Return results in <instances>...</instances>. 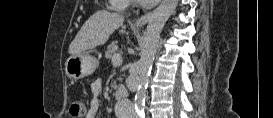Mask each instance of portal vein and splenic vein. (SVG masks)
I'll return each mask as SVG.
<instances>
[{
  "instance_id": "1",
  "label": "portal vein and splenic vein",
  "mask_w": 273,
  "mask_h": 118,
  "mask_svg": "<svg viewBox=\"0 0 273 118\" xmlns=\"http://www.w3.org/2000/svg\"><path fill=\"white\" fill-rule=\"evenodd\" d=\"M112 62L114 64L120 65L122 63V56H121V54H119V53L114 54L113 57H112Z\"/></svg>"
}]
</instances>
